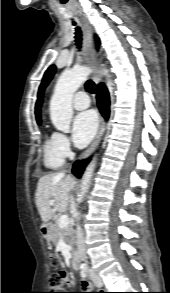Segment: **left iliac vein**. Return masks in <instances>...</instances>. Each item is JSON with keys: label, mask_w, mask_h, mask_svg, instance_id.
Returning <instances> with one entry per match:
<instances>
[{"label": "left iliac vein", "mask_w": 170, "mask_h": 293, "mask_svg": "<svg viewBox=\"0 0 170 293\" xmlns=\"http://www.w3.org/2000/svg\"><path fill=\"white\" fill-rule=\"evenodd\" d=\"M89 275L91 276L95 286H97V287H102L103 286V281H102L101 277L98 274H96L94 272H90Z\"/></svg>", "instance_id": "left-iliac-vein-1"}]
</instances>
